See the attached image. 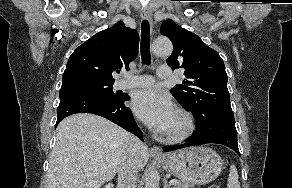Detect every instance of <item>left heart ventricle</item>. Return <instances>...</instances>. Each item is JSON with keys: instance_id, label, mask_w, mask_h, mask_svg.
I'll use <instances>...</instances> for the list:
<instances>
[{"instance_id": "b2bd125f", "label": "left heart ventricle", "mask_w": 292, "mask_h": 188, "mask_svg": "<svg viewBox=\"0 0 292 188\" xmlns=\"http://www.w3.org/2000/svg\"><path fill=\"white\" fill-rule=\"evenodd\" d=\"M182 127H183V121H182L181 117L178 114H176L172 124L170 125L169 129L167 130V133L179 131L180 129H182Z\"/></svg>"}]
</instances>
